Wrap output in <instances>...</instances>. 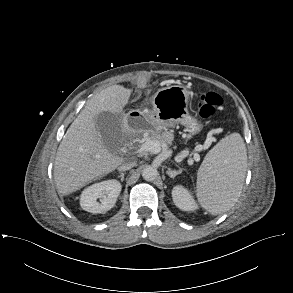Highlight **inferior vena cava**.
<instances>
[{
    "label": "inferior vena cava",
    "instance_id": "1",
    "mask_svg": "<svg viewBox=\"0 0 293 293\" xmlns=\"http://www.w3.org/2000/svg\"><path fill=\"white\" fill-rule=\"evenodd\" d=\"M135 165H136V163L132 162V161L124 162L121 166L118 167V170L119 171H126V170L133 168Z\"/></svg>",
    "mask_w": 293,
    "mask_h": 293
}]
</instances>
